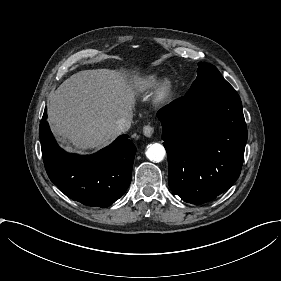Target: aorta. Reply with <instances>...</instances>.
Returning a JSON list of instances; mask_svg holds the SVG:
<instances>
[{
  "mask_svg": "<svg viewBox=\"0 0 281 281\" xmlns=\"http://www.w3.org/2000/svg\"><path fill=\"white\" fill-rule=\"evenodd\" d=\"M166 155L165 148L159 143L150 144L146 150V156L150 161L161 162Z\"/></svg>",
  "mask_w": 281,
  "mask_h": 281,
  "instance_id": "obj_1",
  "label": "aorta"
}]
</instances>
